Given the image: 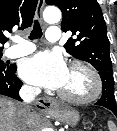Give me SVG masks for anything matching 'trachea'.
<instances>
[{"mask_svg": "<svg viewBox=\"0 0 117 131\" xmlns=\"http://www.w3.org/2000/svg\"><path fill=\"white\" fill-rule=\"evenodd\" d=\"M42 29L38 22V20H35L33 30L31 31V34L29 36L30 40L39 39L42 37Z\"/></svg>", "mask_w": 117, "mask_h": 131, "instance_id": "obj_1", "label": "trachea"}]
</instances>
